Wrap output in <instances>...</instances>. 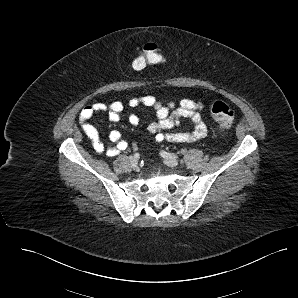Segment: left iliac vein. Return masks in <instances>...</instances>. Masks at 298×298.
Here are the masks:
<instances>
[{
    "instance_id": "1",
    "label": "left iliac vein",
    "mask_w": 298,
    "mask_h": 298,
    "mask_svg": "<svg viewBox=\"0 0 298 298\" xmlns=\"http://www.w3.org/2000/svg\"><path fill=\"white\" fill-rule=\"evenodd\" d=\"M165 164L171 167H175L178 165V160L176 158H164Z\"/></svg>"
}]
</instances>
